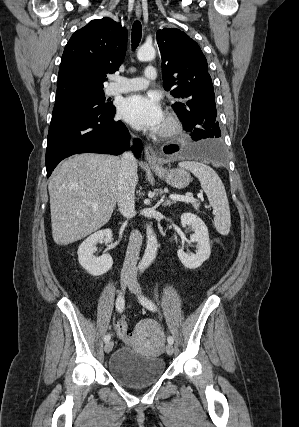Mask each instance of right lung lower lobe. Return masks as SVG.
Listing matches in <instances>:
<instances>
[{"mask_svg": "<svg viewBox=\"0 0 299 427\" xmlns=\"http://www.w3.org/2000/svg\"><path fill=\"white\" fill-rule=\"evenodd\" d=\"M111 112L73 109L53 115L48 132L46 169L49 177L57 164L76 153L118 155L128 149L129 132L121 121L115 122ZM140 157L142 143L134 140L132 147Z\"/></svg>", "mask_w": 299, "mask_h": 427, "instance_id": "1", "label": "right lung lower lobe"}]
</instances>
